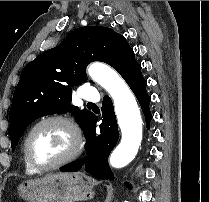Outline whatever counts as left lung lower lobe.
I'll return each instance as SVG.
<instances>
[{"instance_id":"left-lung-lower-lobe-1","label":"left lung lower lobe","mask_w":209,"mask_h":202,"mask_svg":"<svg viewBox=\"0 0 209 202\" xmlns=\"http://www.w3.org/2000/svg\"><path fill=\"white\" fill-rule=\"evenodd\" d=\"M123 78L137 97L146 119L147 129H149V123L152 119L149 110L151 98L146 91L147 81L142 76L140 64L132 68ZM101 110L103 121L100 125V135H96L95 131L96 116L93 117L84 133L87 139L85 145L87 156L80 162L62 167V172L79 171L82 165L85 164L86 171L93 177L114 179V174L108 164V157L117 144L119 133L113 103L108 96L103 98ZM125 185L131 188L128 183H125Z\"/></svg>"}]
</instances>
